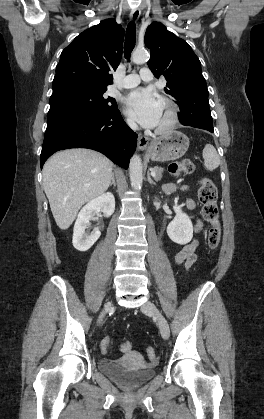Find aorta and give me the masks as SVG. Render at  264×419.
<instances>
[{
  "mask_svg": "<svg viewBox=\"0 0 264 419\" xmlns=\"http://www.w3.org/2000/svg\"><path fill=\"white\" fill-rule=\"evenodd\" d=\"M149 59L148 52L145 50H136L132 54V60L136 64H143ZM130 181L134 190L140 191L143 182L142 161L138 155H134L130 160Z\"/></svg>",
  "mask_w": 264,
  "mask_h": 419,
  "instance_id": "762f6f07",
  "label": "aorta"
}]
</instances>
